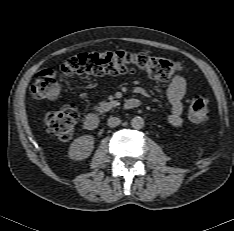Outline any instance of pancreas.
Listing matches in <instances>:
<instances>
[{
    "label": "pancreas",
    "instance_id": "pancreas-1",
    "mask_svg": "<svg viewBox=\"0 0 234 231\" xmlns=\"http://www.w3.org/2000/svg\"><path fill=\"white\" fill-rule=\"evenodd\" d=\"M118 103L117 101H110V102H106V101H102L98 104V106L96 107L97 111L99 112H107L109 111L112 107L116 106Z\"/></svg>",
    "mask_w": 234,
    "mask_h": 231
}]
</instances>
